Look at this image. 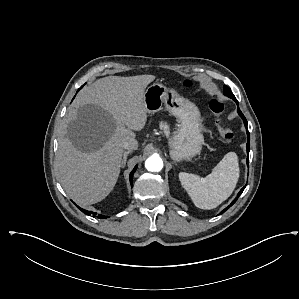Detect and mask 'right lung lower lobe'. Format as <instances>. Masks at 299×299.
Listing matches in <instances>:
<instances>
[{"mask_svg": "<svg viewBox=\"0 0 299 299\" xmlns=\"http://www.w3.org/2000/svg\"><path fill=\"white\" fill-rule=\"evenodd\" d=\"M136 169H137V166H135V168L133 169V171L131 172V174H130V176H129L131 184H132V182H133V174H134V172L136 171ZM80 210L83 211L82 208H80ZM84 211H85V213H86L87 215H92L93 217H97V218H107V216H104V215H97V213H95V212H91V211H87V210H84Z\"/></svg>", "mask_w": 299, "mask_h": 299, "instance_id": "98d812e1", "label": "right lung lower lobe"}]
</instances>
